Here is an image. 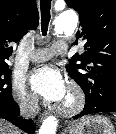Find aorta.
<instances>
[{
	"instance_id": "1",
	"label": "aorta",
	"mask_w": 116,
	"mask_h": 134,
	"mask_svg": "<svg viewBox=\"0 0 116 134\" xmlns=\"http://www.w3.org/2000/svg\"><path fill=\"white\" fill-rule=\"evenodd\" d=\"M78 17L72 10H66L60 14L54 22V31L61 34L67 29H74L77 25ZM58 121L54 116L47 117L39 130V134H56Z\"/></svg>"
}]
</instances>
